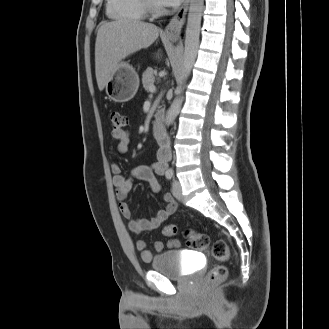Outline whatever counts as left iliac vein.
Returning <instances> with one entry per match:
<instances>
[{
    "instance_id": "1",
    "label": "left iliac vein",
    "mask_w": 329,
    "mask_h": 329,
    "mask_svg": "<svg viewBox=\"0 0 329 329\" xmlns=\"http://www.w3.org/2000/svg\"><path fill=\"white\" fill-rule=\"evenodd\" d=\"M172 193L176 199H178V200L183 199L181 185L178 181H174Z\"/></svg>"
}]
</instances>
